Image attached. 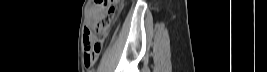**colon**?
Here are the masks:
<instances>
[{
  "mask_svg": "<svg viewBox=\"0 0 267 72\" xmlns=\"http://www.w3.org/2000/svg\"><path fill=\"white\" fill-rule=\"evenodd\" d=\"M120 0H96L95 1V25L93 29L86 30L84 37V51L86 62L93 66L97 60L102 46V36L107 33L116 16Z\"/></svg>",
  "mask_w": 267,
  "mask_h": 72,
  "instance_id": "obj_1",
  "label": "colon"
}]
</instances>
